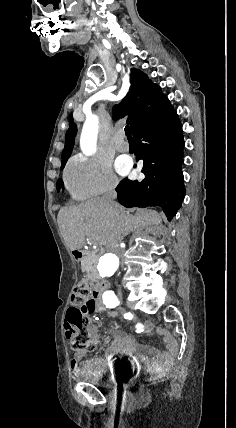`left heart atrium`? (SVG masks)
Here are the masks:
<instances>
[{
  "mask_svg": "<svg viewBox=\"0 0 236 428\" xmlns=\"http://www.w3.org/2000/svg\"><path fill=\"white\" fill-rule=\"evenodd\" d=\"M128 168L129 167L127 164H122V165L118 166V171L122 174H125V173H127Z\"/></svg>",
  "mask_w": 236,
  "mask_h": 428,
  "instance_id": "obj_1",
  "label": "left heart atrium"
}]
</instances>
